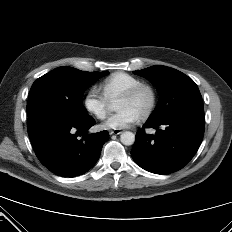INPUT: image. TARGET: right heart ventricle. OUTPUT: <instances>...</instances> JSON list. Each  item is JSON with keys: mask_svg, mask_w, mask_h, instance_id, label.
Instances as JSON below:
<instances>
[{"mask_svg": "<svg viewBox=\"0 0 232 232\" xmlns=\"http://www.w3.org/2000/svg\"><path fill=\"white\" fill-rule=\"evenodd\" d=\"M142 80L125 72H116L105 78L100 89L109 102L118 99L123 93L141 83Z\"/></svg>", "mask_w": 232, "mask_h": 232, "instance_id": "1", "label": "right heart ventricle"}]
</instances>
